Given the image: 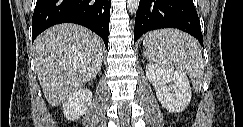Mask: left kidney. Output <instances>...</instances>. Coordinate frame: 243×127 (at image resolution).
<instances>
[{"mask_svg":"<svg viewBox=\"0 0 243 127\" xmlns=\"http://www.w3.org/2000/svg\"><path fill=\"white\" fill-rule=\"evenodd\" d=\"M146 76L155 87L159 102L169 112L179 113L190 103L191 86L183 72L148 64Z\"/></svg>","mask_w":243,"mask_h":127,"instance_id":"obj_1","label":"left kidney"}]
</instances>
